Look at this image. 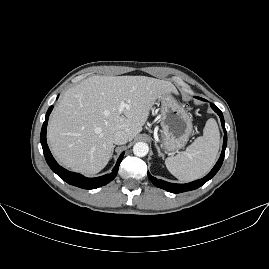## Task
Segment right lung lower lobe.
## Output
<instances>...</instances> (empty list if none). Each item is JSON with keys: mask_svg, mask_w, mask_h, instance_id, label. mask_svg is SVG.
<instances>
[{"mask_svg": "<svg viewBox=\"0 0 269 269\" xmlns=\"http://www.w3.org/2000/svg\"><path fill=\"white\" fill-rule=\"evenodd\" d=\"M52 109H53V106H50L47 111L46 118L43 123L42 130H41V136H40V141L42 144L43 153H44L46 162L48 163L52 171L55 172L59 177H61L68 184H71V185H74L83 189H96L112 181L117 175L120 162L122 161L123 156H124V152H122L121 155L119 156L117 163L110 174L97 177V178H86L78 173L69 172L66 169L58 165V163L53 158L48 148L47 141H46V129H47L48 117Z\"/></svg>", "mask_w": 269, "mask_h": 269, "instance_id": "obj_1", "label": "right lung lower lobe"}]
</instances>
